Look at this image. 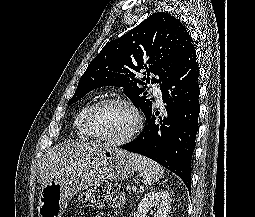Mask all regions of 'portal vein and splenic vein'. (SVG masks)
Wrapping results in <instances>:
<instances>
[{
	"mask_svg": "<svg viewBox=\"0 0 255 217\" xmlns=\"http://www.w3.org/2000/svg\"><path fill=\"white\" fill-rule=\"evenodd\" d=\"M131 189H132L131 186H127V187H126V190H127V191H131Z\"/></svg>",
	"mask_w": 255,
	"mask_h": 217,
	"instance_id": "18ae733b",
	"label": "portal vein and splenic vein"
}]
</instances>
